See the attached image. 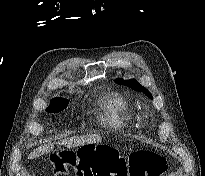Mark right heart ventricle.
Listing matches in <instances>:
<instances>
[{
  "label": "right heart ventricle",
  "mask_w": 205,
  "mask_h": 176,
  "mask_svg": "<svg viewBox=\"0 0 205 176\" xmlns=\"http://www.w3.org/2000/svg\"><path fill=\"white\" fill-rule=\"evenodd\" d=\"M104 108V120L114 128H121L125 121L131 119L129 105L118 93L109 94L104 98Z\"/></svg>",
  "instance_id": "1"
}]
</instances>
